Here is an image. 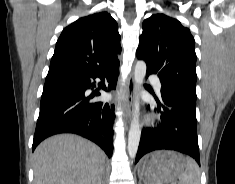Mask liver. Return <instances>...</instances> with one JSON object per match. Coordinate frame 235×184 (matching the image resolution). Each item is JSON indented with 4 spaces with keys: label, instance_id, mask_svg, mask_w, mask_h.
I'll return each mask as SVG.
<instances>
[{
    "label": "liver",
    "instance_id": "6515ba94",
    "mask_svg": "<svg viewBox=\"0 0 235 184\" xmlns=\"http://www.w3.org/2000/svg\"><path fill=\"white\" fill-rule=\"evenodd\" d=\"M106 156L74 134L51 136L33 156L34 184H101Z\"/></svg>",
    "mask_w": 235,
    "mask_h": 184
}]
</instances>
